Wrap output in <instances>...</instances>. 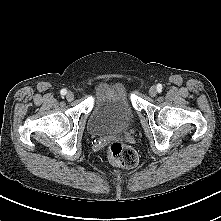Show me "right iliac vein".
Here are the masks:
<instances>
[{
    "label": "right iliac vein",
    "instance_id": "63e3f726",
    "mask_svg": "<svg viewBox=\"0 0 221 221\" xmlns=\"http://www.w3.org/2000/svg\"><path fill=\"white\" fill-rule=\"evenodd\" d=\"M66 99H67L68 101H72V100L74 99V94H73L72 92H68V93L66 94Z\"/></svg>",
    "mask_w": 221,
    "mask_h": 221
}]
</instances>
